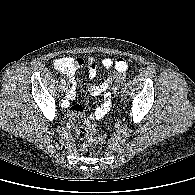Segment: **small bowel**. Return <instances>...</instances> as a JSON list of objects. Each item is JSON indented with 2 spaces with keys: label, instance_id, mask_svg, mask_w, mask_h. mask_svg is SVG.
Returning a JSON list of instances; mask_svg holds the SVG:
<instances>
[{
  "label": "small bowel",
  "instance_id": "1",
  "mask_svg": "<svg viewBox=\"0 0 195 195\" xmlns=\"http://www.w3.org/2000/svg\"><path fill=\"white\" fill-rule=\"evenodd\" d=\"M69 61V67L66 69L58 68L62 73L69 77L68 83L71 87L70 92L67 94V100H73L76 95L77 82L74 77L75 73L84 65V60L82 58H66ZM101 65L110 69L112 67L115 68L114 73L104 81L99 84H92L88 87V91L92 96H100L103 95L104 101L103 103L95 109V111L90 115V119L99 120L105 116V114L109 111L111 106V94L108 92L115 78L124 73L127 70V63L123 58H117L113 60L109 57H103L100 59ZM88 68H89V77L90 79H95L97 76V62L93 58H88ZM83 113V107L81 105H74L70 108V121L73 123L77 117H79Z\"/></svg>",
  "mask_w": 195,
  "mask_h": 195
}]
</instances>
